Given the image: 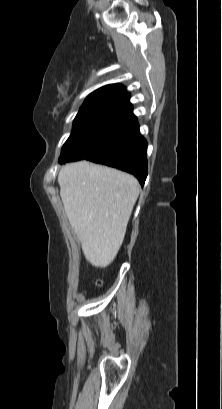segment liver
<instances>
[{
	"mask_svg": "<svg viewBox=\"0 0 222 409\" xmlns=\"http://www.w3.org/2000/svg\"><path fill=\"white\" fill-rule=\"evenodd\" d=\"M69 223L87 261L105 268L115 259L139 195L137 179L125 172L79 161L58 174Z\"/></svg>",
	"mask_w": 222,
	"mask_h": 409,
	"instance_id": "liver-1",
	"label": "liver"
}]
</instances>
